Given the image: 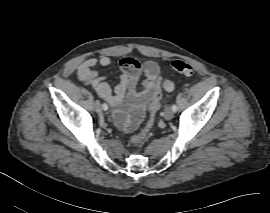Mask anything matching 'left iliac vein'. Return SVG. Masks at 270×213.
<instances>
[{
  "label": "left iliac vein",
  "mask_w": 270,
  "mask_h": 213,
  "mask_svg": "<svg viewBox=\"0 0 270 213\" xmlns=\"http://www.w3.org/2000/svg\"><path fill=\"white\" fill-rule=\"evenodd\" d=\"M174 117V113L170 107H167L164 111V118L166 120H171Z\"/></svg>",
  "instance_id": "4c4485c4"
}]
</instances>
